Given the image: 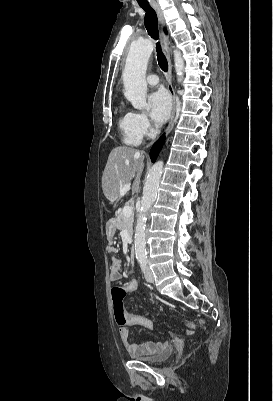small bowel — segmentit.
<instances>
[{"mask_svg": "<svg viewBox=\"0 0 273 401\" xmlns=\"http://www.w3.org/2000/svg\"><path fill=\"white\" fill-rule=\"evenodd\" d=\"M121 267H122L121 259L114 257L111 260L110 275H109L110 280L112 282H117L121 279ZM126 317H127V323L120 328V337L122 339V342L128 347L131 355L133 356L155 355L165 350L168 347L167 342H146L143 344H131L129 342V332H128L129 326H140L147 329H152L153 326L151 321L144 316H139L126 312ZM186 332L190 333L191 329L187 328Z\"/></svg>", "mask_w": 273, "mask_h": 401, "instance_id": "obj_1", "label": "small bowel"}]
</instances>
